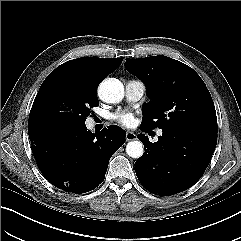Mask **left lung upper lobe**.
<instances>
[{
    "instance_id": "5c2ea615",
    "label": "left lung upper lobe",
    "mask_w": 241,
    "mask_h": 241,
    "mask_svg": "<svg viewBox=\"0 0 241 241\" xmlns=\"http://www.w3.org/2000/svg\"><path fill=\"white\" fill-rule=\"evenodd\" d=\"M126 69L147 87L140 128H184L217 134V118L210 92L200 76L184 63L158 55L126 59Z\"/></svg>"
}]
</instances>
